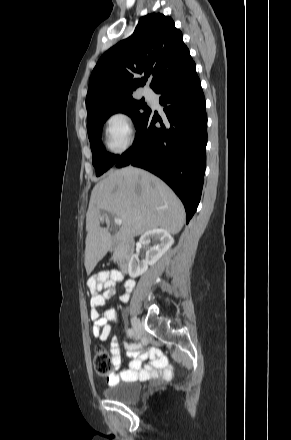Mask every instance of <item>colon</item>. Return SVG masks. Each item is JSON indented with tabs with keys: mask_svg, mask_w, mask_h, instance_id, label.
<instances>
[{
	"mask_svg": "<svg viewBox=\"0 0 291 440\" xmlns=\"http://www.w3.org/2000/svg\"><path fill=\"white\" fill-rule=\"evenodd\" d=\"M93 367L98 375H109L111 371L110 360L104 348H96L93 358Z\"/></svg>",
	"mask_w": 291,
	"mask_h": 440,
	"instance_id": "colon-1",
	"label": "colon"
}]
</instances>
